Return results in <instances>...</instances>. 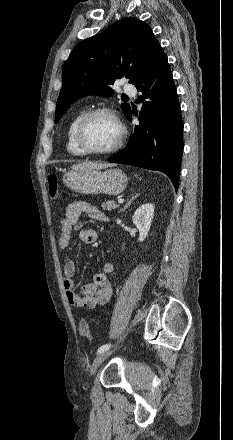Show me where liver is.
Returning <instances> with one entry per match:
<instances>
[{"label": "liver", "mask_w": 233, "mask_h": 440, "mask_svg": "<svg viewBox=\"0 0 233 440\" xmlns=\"http://www.w3.org/2000/svg\"><path fill=\"white\" fill-rule=\"evenodd\" d=\"M112 166V164L109 163H92V162H86V163H78L71 166L72 170H80V169H104L107 167Z\"/></svg>", "instance_id": "liver-1"}]
</instances>
